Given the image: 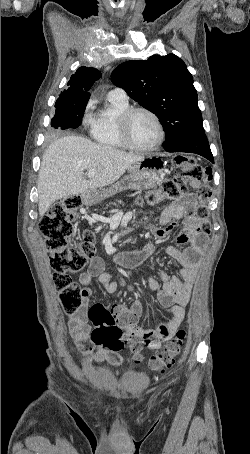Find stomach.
Returning a JSON list of instances; mask_svg holds the SVG:
<instances>
[{
    "instance_id": "stomach-1",
    "label": "stomach",
    "mask_w": 250,
    "mask_h": 454,
    "mask_svg": "<svg viewBox=\"0 0 250 454\" xmlns=\"http://www.w3.org/2000/svg\"><path fill=\"white\" fill-rule=\"evenodd\" d=\"M128 171L129 175L127 177L109 189L88 190L82 194V202L85 205H93L116 194L122 189H148L154 187L164 179L165 163L158 157H148L134 163Z\"/></svg>"
}]
</instances>
